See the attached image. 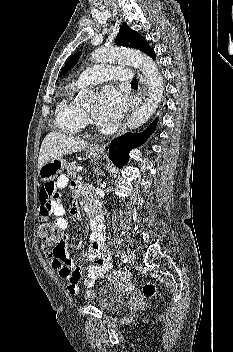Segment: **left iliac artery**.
<instances>
[{"label": "left iliac artery", "mask_w": 233, "mask_h": 352, "mask_svg": "<svg viewBox=\"0 0 233 352\" xmlns=\"http://www.w3.org/2000/svg\"><path fill=\"white\" fill-rule=\"evenodd\" d=\"M121 260H122V262L126 263L128 261V256L126 254H123L121 256Z\"/></svg>", "instance_id": "obj_1"}]
</instances>
